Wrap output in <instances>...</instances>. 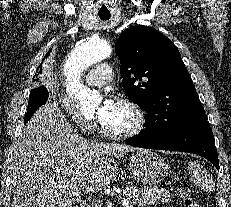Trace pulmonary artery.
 Here are the masks:
<instances>
[{
  "label": "pulmonary artery",
  "mask_w": 231,
  "mask_h": 207,
  "mask_svg": "<svg viewBox=\"0 0 231 207\" xmlns=\"http://www.w3.org/2000/svg\"><path fill=\"white\" fill-rule=\"evenodd\" d=\"M113 71L109 64L98 63L86 75V82L93 87H100L113 78Z\"/></svg>",
  "instance_id": "1"
}]
</instances>
